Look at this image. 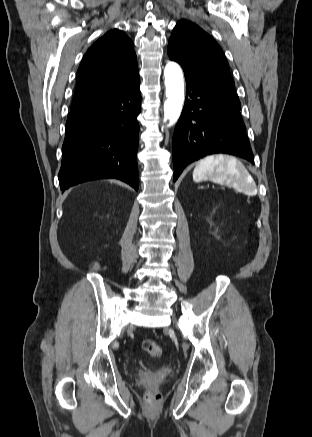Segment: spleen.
Wrapping results in <instances>:
<instances>
[{
  "instance_id": "1",
  "label": "spleen",
  "mask_w": 312,
  "mask_h": 437,
  "mask_svg": "<svg viewBox=\"0 0 312 437\" xmlns=\"http://www.w3.org/2000/svg\"><path fill=\"white\" fill-rule=\"evenodd\" d=\"M207 179L231 185L247 195L257 193L252 176L245 166L232 156L219 154L200 160L194 168L193 180L201 182Z\"/></svg>"
}]
</instances>
